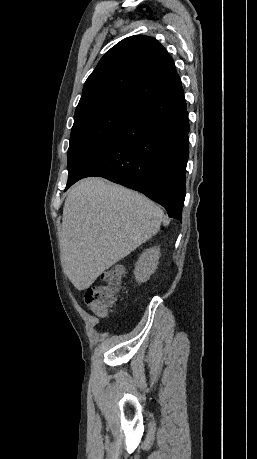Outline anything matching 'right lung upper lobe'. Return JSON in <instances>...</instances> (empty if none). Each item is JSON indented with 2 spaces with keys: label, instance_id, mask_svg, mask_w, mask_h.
<instances>
[{
  "label": "right lung upper lobe",
  "instance_id": "right-lung-upper-lobe-1",
  "mask_svg": "<svg viewBox=\"0 0 257 459\" xmlns=\"http://www.w3.org/2000/svg\"><path fill=\"white\" fill-rule=\"evenodd\" d=\"M179 82L172 57L157 40L130 36L100 59L84 84L74 118L109 106L137 110Z\"/></svg>",
  "mask_w": 257,
  "mask_h": 459
}]
</instances>
